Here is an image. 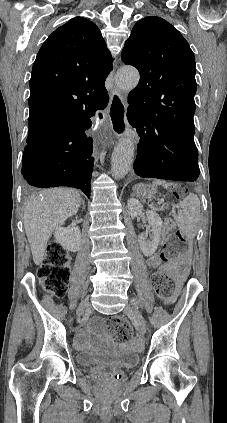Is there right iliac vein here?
<instances>
[{"mask_svg": "<svg viewBox=\"0 0 227 423\" xmlns=\"http://www.w3.org/2000/svg\"><path fill=\"white\" fill-rule=\"evenodd\" d=\"M89 309V302L84 301L78 309V314H82L83 311Z\"/></svg>", "mask_w": 227, "mask_h": 423, "instance_id": "1", "label": "right iliac vein"}]
</instances>
